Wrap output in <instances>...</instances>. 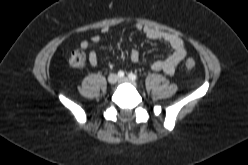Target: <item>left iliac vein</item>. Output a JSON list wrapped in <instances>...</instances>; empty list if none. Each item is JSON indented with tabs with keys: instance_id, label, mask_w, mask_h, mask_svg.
<instances>
[{
	"instance_id": "obj_1",
	"label": "left iliac vein",
	"mask_w": 248,
	"mask_h": 165,
	"mask_svg": "<svg viewBox=\"0 0 248 165\" xmlns=\"http://www.w3.org/2000/svg\"><path fill=\"white\" fill-rule=\"evenodd\" d=\"M119 81H120V82L130 83V84L136 86V83H135L134 81H131V80H130L129 78H127V77L119 78Z\"/></svg>"
}]
</instances>
